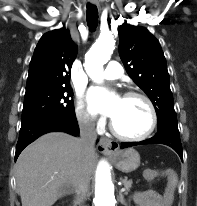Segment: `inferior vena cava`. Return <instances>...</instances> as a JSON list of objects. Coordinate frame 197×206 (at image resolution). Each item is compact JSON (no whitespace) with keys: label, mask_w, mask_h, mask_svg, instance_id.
<instances>
[{"label":"inferior vena cava","mask_w":197,"mask_h":206,"mask_svg":"<svg viewBox=\"0 0 197 206\" xmlns=\"http://www.w3.org/2000/svg\"><path fill=\"white\" fill-rule=\"evenodd\" d=\"M80 136L83 155L95 150V143L97 140V133L95 130V123L90 117H84L80 121ZM89 190V180L85 175V170L82 168L80 172L78 185L76 187L77 202H83Z\"/></svg>","instance_id":"obj_1"}]
</instances>
